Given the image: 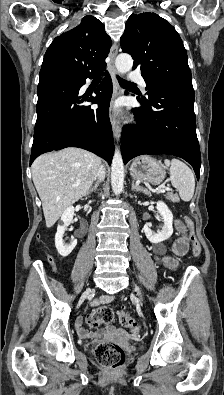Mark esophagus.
Segmentation results:
<instances>
[{
  "instance_id": "esophagus-1",
  "label": "esophagus",
  "mask_w": 224,
  "mask_h": 395,
  "mask_svg": "<svg viewBox=\"0 0 224 395\" xmlns=\"http://www.w3.org/2000/svg\"><path fill=\"white\" fill-rule=\"evenodd\" d=\"M117 53H118V45L116 43H114L110 49V53H109L110 61L108 64L109 73L111 75L112 83H113V94H112V99H111V103H110V107H109V116H110V122H111L114 136L117 140H119L120 135H121V127H120L119 118L116 113V109L114 107V99L121 93L120 86H119V83L117 80V71H116V67H115V58L117 56Z\"/></svg>"
}]
</instances>
